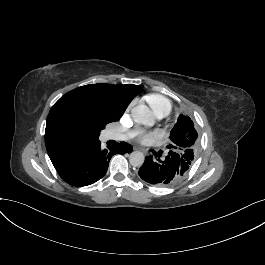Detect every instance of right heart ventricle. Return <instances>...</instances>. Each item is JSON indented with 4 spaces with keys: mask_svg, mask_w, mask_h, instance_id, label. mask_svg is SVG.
Wrapping results in <instances>:
<instances>
[{
    "mask_svg": "<svg viewBox=\"0 0 265 265\" xmlns=\"http://www.w3.org/2000/svg\"><path fill=\"white\" fill-rule=\"evenodd\" d=\"M146 104L149 108L154 109V112L159 117H164L170 110V104L162 95L151 94L146 99Z\"/></svg>",
    "mask_w": 265,
    "mask_h": 265,
    "instance_id": "right-heart-ventricle-1",
    "label": "right heart ventricle"
}]
</instances>
